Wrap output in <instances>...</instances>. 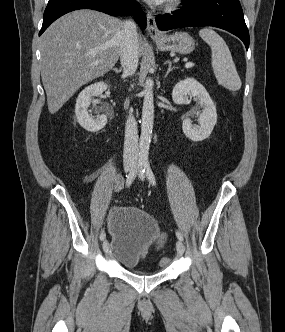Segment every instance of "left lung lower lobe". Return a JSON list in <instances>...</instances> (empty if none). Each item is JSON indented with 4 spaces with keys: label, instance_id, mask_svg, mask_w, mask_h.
<instances>
[{
    "label": "left lung lower lobe",
    "instance_id": "1",
    "mask_svg": "<svg viewBox=\"0 0 285 332\" xmlns=\"http://www.w3.org/2000/svg\"><path fill=\"white\" fill-rule=\"evenodd\" d=\"M160 30L191 26H214L239 37L249 47V32L239 0H184L172 15L157 16Z\"/></svg>",
    "mask_w": 285,
    "mask_h": 332
}]
</instances>
